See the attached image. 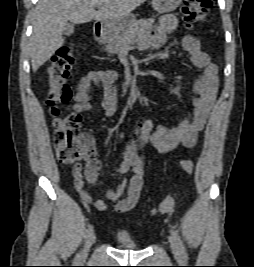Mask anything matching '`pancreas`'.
Returning a JSON list of instances; mask_svg holds the SVG:
<instances>
[{"mask_svg":"<svg viewBox=\"0 0 254 267\" xmlns=\"http://www.w3.org/2000/svg\"><path fill=\"white\" fill-rule=\"evenodd\" d=\"M153 20L141 19L135 21L122 34H115L109 37L106 43V50L110 54H118L122 49L131 44L137 38L143 37L152 29Z\"/></svg>","mask_w":254,"mask_h":267,"instance_id":"cf45deb5","label":"pancreas"}]
</instances>
